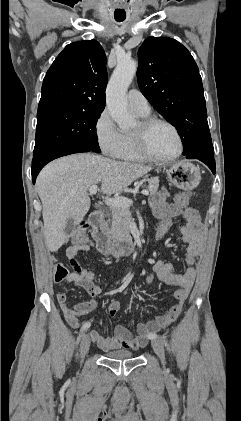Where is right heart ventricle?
Here are the masks:
<instances>
[{
    "label": "right heart ventricle",
    "instance_id": "e07e8e85",
    "mask_svg": "<svg viewBox=\"0 0 241 421\" xmlns=\"http://www.w3.org/2000/svg\"><path fill=\"white\" fill-rule=\"evenodd\" d=\"M142 118H147L148 114H141L136 112ZM116 158L123 161L132 162H145L146 159L137 150L133 131H122L121 132V144L117 152Z\"/></svg>",
    "mask_w": 241,
    "mask_h": 421
}]
</instances>
